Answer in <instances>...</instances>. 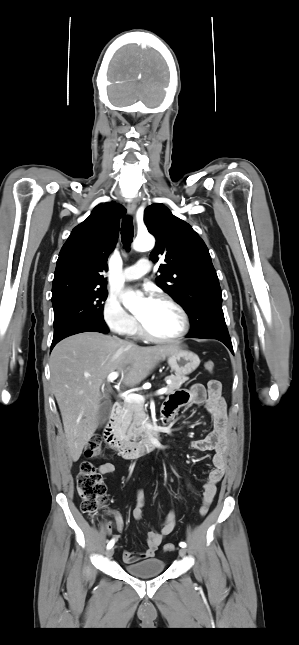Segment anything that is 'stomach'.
Returning <instances> with one entry per match:
<instances>
[{"label":"stomach","instance_id":"stomach-1","mask_svg":"<svg viewBox=\"0 0 299 645\" xmlns=\"http://www.w3.org/2000/svg\"><path fill=\"white\" fill-rule=\"evenodd\" d=\"M167 362L176 375H189L197 369L200 359L197 354L179 349L167 355Z\"/></svg>","mask_w":299,"mask_h":645}]
</instances>
